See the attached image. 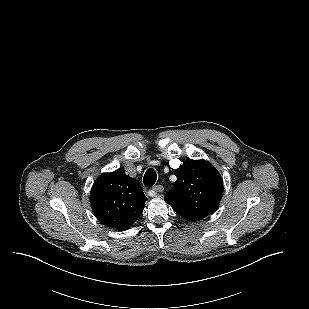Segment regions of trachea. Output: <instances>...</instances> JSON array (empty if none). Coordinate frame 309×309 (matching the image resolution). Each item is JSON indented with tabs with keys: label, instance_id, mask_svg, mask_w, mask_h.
I'll list each match as a JSON object with an SVG mask.
<instances>
[{
	"label": "trachea",
	"instance_id": "obj_1",
	"mask_svg": "<svg viewBox=\"0 0 309 309\" xmlns=\"http://www.w3.org/2000/svg\"><path fill=\"white\" fill-rule=\"evenodd\" d=\"M157 180V174L154 169H148L143 177V182L145 186H153Z\"/></svg>",
	"mask_w": 309,
	"mask_h": 309
}]
</instances>
